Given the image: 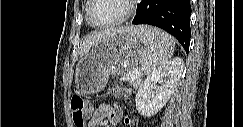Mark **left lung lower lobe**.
I'll use <instances>...</instances> for the list:
<instances>
[{"instance_id": "left-lung-lower-lobe-1", "label": "left lung lower lobe", "mask_w": 243, "mask_h": 127, "mask_svg": "<svg viewBox=\"0 0 243 127\" xmlns=\"http://www.w3.org/2000/svg\"><path fill=\"white\" fill-rule=\"evenodd\" d=\"M190 15V0H142L132 23L149 24L167 31L176 37L188 53Z\"/></svg>"}]
</instances>
